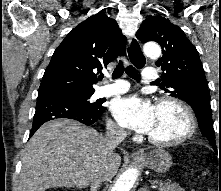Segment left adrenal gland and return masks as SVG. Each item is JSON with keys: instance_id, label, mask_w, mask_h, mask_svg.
<instances>
[{"instance_id": "a2214340", "label": "left adrenal gland", "mask_w": 221, "mask_h": 191, "mask_svg": "<svg viewBox=\"0 0 221 191\" xmlns=\"http://www.w3.org/2000/svg\"><path fill=\"white\" fill-rule=\"evenodd\" d=\"M139 191H149L147 186H143Z\"/></svg>"}]
</instances>
